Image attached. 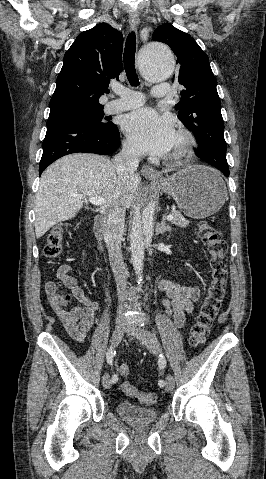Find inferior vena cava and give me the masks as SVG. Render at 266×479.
Instances as JSON below:
<instances>
[{
	"label": "inferior vena cava",
	"mask_w": 266,
	"mask_h": 479,
	"mask_svg": "<svg viewBox=\"0 0 266 479\" xmlns=\"http://www.w3.org/2000/svg\"><path fill=\"white\" fill-rule=\"evenodd\" d=\"M140 157L136 149L130 143H124L122 150L114 158L116 172L121 177L133 175L139 165ZM126 209L118 203L107 207L104 211V239L109 253L110 265L117 285L119 298L118 314L123 313L124 302L126 300V275L127 270L124 265L121 239L124 232Z\"/></svg>",
	"instance_id": "inferior-vena-cava-1"
}]
</instances>
